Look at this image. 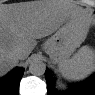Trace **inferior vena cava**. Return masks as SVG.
<instances>
[{
	"label": "inferior vena cava",
	"mask_w": 95,
	"mask_h": 95,
	"mask_svg": "<svg viewBox=\"0 0 95 95\" xmlns=\"http://www.w3.org/2000/svg\"><path fill=\"white\" fill-rule=\"evenodd\" d=\"M21 53H22L21 48H16L15 50H13V55L17 57L18 59H21Z\"/></svg>",
	"instance_id": "inferior-vena-cava-1"
}]
</instances>
